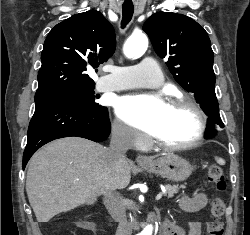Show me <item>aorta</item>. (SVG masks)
I'll return each instance as SVG.
<instances>
[{
	"label": "aorta",
	"mask_w": 250,
	"mask_h": 235,
	"mask_svg": "<svg viewBox=\"0 0 250 235\" xmlns=\"http://www.w3.org/2000/svg\"><path fill=\"white\" fill-rule=\"evenodd\" d=\"M148 47V39L146 36L132 35L124 45V54L129 57L141 56ZM153 226L147 225L138 235H152Z\"/></svg>",
	"instance_id": "1"
}]
</instances>
